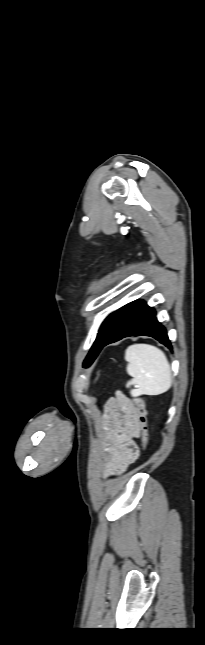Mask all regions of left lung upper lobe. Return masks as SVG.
Masks as SVG:
<instances>
[{
	"instance_id": "5c2ea615",
	"label": "left lung upper lobe",
	"mask_w": 205,
	"mask_h": 645,
	"mask_svg": "<svg viewBox=\"0 0 205 645\" xmlns=\"http://www.w3.org/2000/svg\"><path fill=\"white\" fill-rule=\"evenodd\" d=\"M109 319H110V316H108L105 319V321L102 323V325H101V327L99 329V333H98V335L96 337V340H95V342H94L89 354L87 355V357H86V359L84 361V367L90 366L92 364V362L94 361V359L97 357L98 352H99L100 344L102 343V340H103V338H104V336H105V334L107 332V328H108V325H109Z\"/></svg>"
}]
</instances>
